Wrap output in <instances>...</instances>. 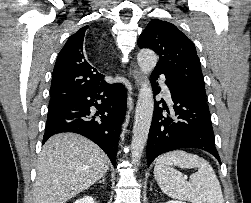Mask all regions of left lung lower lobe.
I'll return each mask as SVG.
<instances>
[{
  "mask_svg": "<svg viewBox=\"0 0 251 203\" xmlns=\"http://www.w3.org/2000/svg\"><path fill=\"white\" fill-rule=\"evenodd\" d=\"M161 74H164L163 71L158 69L152 72L151 84L154 89L158 86L156 79ZM165 78L174 105L170 115L166 105L161 108L160 101L154 103L147 143L148 166L160 154L185 147L205 150L220 161L206 100L168 76L165 75Z\"/></svg>",
  "mask_w": 251,
  "mask_h": 203,
  "instance_id": "obj_1",
  "label": "left lung lower lobe"
}]
</instances>
